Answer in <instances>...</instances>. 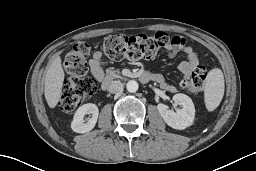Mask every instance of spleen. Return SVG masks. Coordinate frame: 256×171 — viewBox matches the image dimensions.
I'll return each instance as SVG.
<instances>
[{"instance_id":"1","label":"spleen","mask_w":256,"mask_h":171,"mask_svg":"<svg viewBox=\"0 0 256 171\" xmlns=\"http://www.w3.org/2000/svg\"><path fill=\"white\" fill-rule=\"evenodd\" d=\"M224 95V76L220 69H212L204 84V100L208 111L215 110Z\"/></svg>"}]
</instances>
